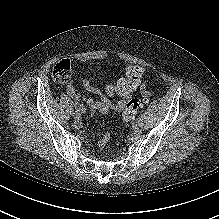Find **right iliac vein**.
Instances as JSON below:
<instances>
[{"label": "right iliac vein", "instance_id": "1", "mask_svg": "<svg viewBox=\"0 0 219 219\" xmlns=\"http://www.w3.org/2000/svg\"><path fill=\"white\" fill-rule=\"evenodd\" d=\"M81 110L77 109L75 112H74V118L76 120H79L81 118Z\"/></svg>", "mask_w": 219, "mask_h": 219}]
</instances>
